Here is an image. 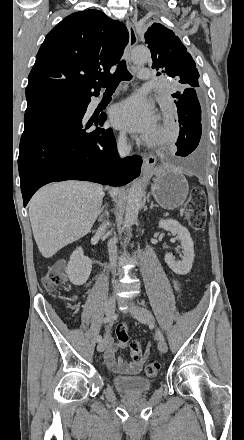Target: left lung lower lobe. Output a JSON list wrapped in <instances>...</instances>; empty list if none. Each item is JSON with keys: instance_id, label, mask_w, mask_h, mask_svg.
Listing matches in <instances>:
<instances>
[{"instance_id": "obj_1", "label": "left lung lower lobe", "mask_w": 244, "mask_h": 440, "mask_svg": "<svg viewBox=\"0 0 244 440\" xmlns=\"http://www.w3.org/2000/svg\"><path fill=\"white\" fill-rule=\"evenodd\" d=\"M175 98L174 103L177 107L179 122V138L176 142L178 151L176 156L185 157L196 149L200 142L201 107L198 100L196 89L186 88L172 94Z\"/></svg>"}]
</instances>
